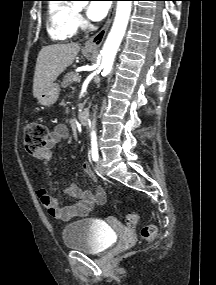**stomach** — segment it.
Returning <instances> with one entry per match:
<instances>
[{
  "instance_id": "stomach-1",
  "label": "stomach",
  "mask_w": 216,
  "mask_h": 285,
  "mask_svg": "<svg viewBox=\"0 0 216 285\" xmlns=\"http://www.w3.org/2000/svg\"><path fill=\"white\" fill-rule=\"evenodd\" d=\"M93 50L86 51V53H92ZM60 95V86L57 83H53L45 91H43L38 97V102L43 106L53 105Z\"/></svg>"
}]
</instances>
